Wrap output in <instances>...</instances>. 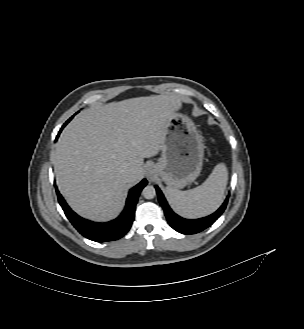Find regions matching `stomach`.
Instances as JSON below:
<instances>
[{
    "label": "stomach",
    "mask_w": 304,
    "mask_h": 329,
    "mask_svg": "<svg viewBox=\"0 0 304 329\" xmlns=\"http://www.w3.org/2000/svg\"><path fill=\"white\" fill-rule=\"evenodd\" d=\"M161 158L150 169L168 187L181 189L194 181L202 170L204 145L195 124L186 115L173 113L169 118Z\"/></svg>",
    "instance_id": "0dacf381"
}]
</instances>
